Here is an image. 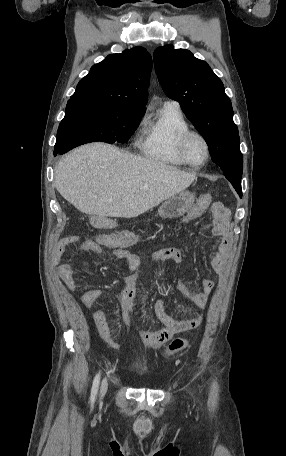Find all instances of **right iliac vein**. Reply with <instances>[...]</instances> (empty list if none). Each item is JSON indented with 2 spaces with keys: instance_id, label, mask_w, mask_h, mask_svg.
Returning <instances> with one entry per match:
<instances>
[{
  "instance_id": "right-iliac-vein-1",
  "label": "right iliac vein",
  "mask_w": 286,
  "mask_h": 456,
  "mask_svg": "<svg viewBox=\"0 0 286 456\" xmlns=\"http://www.w3.org/2000/svg\"><path fill=\"white\" fill-rule=\"evenodd\" d=\"M107 388H108V381H107V378H104L103 381H102V384H101V388H100V398H103L107 392Z\"/></svg>"
}]
</instances>
